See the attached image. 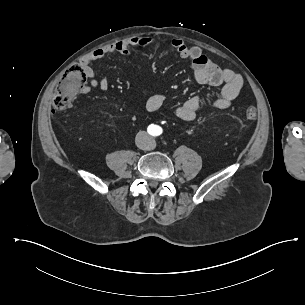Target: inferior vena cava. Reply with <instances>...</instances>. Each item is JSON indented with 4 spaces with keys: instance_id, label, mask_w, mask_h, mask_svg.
Returning a JSON list of instances; mask_svg holds the SVG:
<instances>
[{
    "instance_id": "602c4592",
    "label": "inferior vena cava",
    "mask_w": 305,
    "mask_h": 305,
    "mask_svg": "<svg viewBox=\"0 0 305 305\" xmlns=\"http://www.w3.org/2000/svg\"><path fill=\"white\" fill-rule=\"evenodd\" d=\"M135 144L139 149L142 150H150L154 147V141L145 131H140L137 133L135 137Z\"/></svg>"
}]
</instances>
